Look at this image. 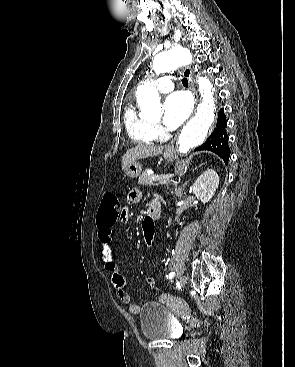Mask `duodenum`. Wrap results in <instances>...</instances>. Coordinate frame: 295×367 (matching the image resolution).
<instances>
[{
    "label": "duodenum",
    "mask_w": 295,
    "mask_h": 367,
    "mask_svg": "<svg viewBox=\"0 0 295 367\" xmlns=\"http://www.w3.org/2000/svg\"><path fill=\"white\" fill-rule=\"evenodd\" d=\"M147 214H148L149 219H153V221L158 219L161 215L160 202L157 200H153L149 205Z\"/></svg>",
    "instance_id": "obj_1"
}]
</instances>
